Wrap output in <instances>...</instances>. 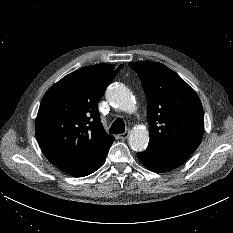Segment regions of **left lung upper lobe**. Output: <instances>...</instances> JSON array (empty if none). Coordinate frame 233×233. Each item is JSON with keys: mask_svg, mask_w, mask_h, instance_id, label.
I'll list each match as a JSON object with an SVG mask.
<instances>
[{"mask_svg": "<svg viewBox=\"0 0 233 233\" xmlns=\"http://www.w3.org/2000/svg\"><path fill=\"white\" fill-rule=\"evenodd\" d=\"M128 65L141 79L147 98L148 146L192 154L204 131L203 108L196 92L161 63L139 61Z\"/></svg>", "mask_w": 233, "mask_h": 233, "instance_id": "5c2ea615", "label": "left lung upper lobe"}]
</instances>
